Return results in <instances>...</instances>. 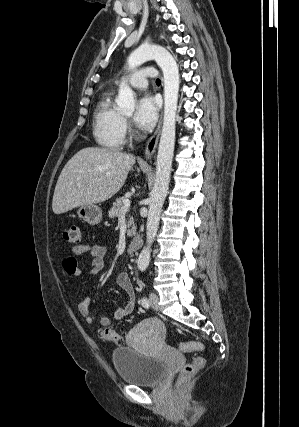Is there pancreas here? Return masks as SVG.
<instances>
[{"label":"pancreas","instance_id":"1","mask_svg":"<svg viewBox=\"0 0 299 427\" xmlns=\"http://www.w3.org/2000/svg\"><path fill=\"white\" fill-rule=\"evenodd\" d=\"M124 200L125 199L123 197L116 199V201L113 203V206L110 208L109 218L113 219V218H116L120 215V210L124 205V203H123ZM127 226H128L127 236L131 237L135 234V225H134L133 218L130 216L128 219Z\"/></svg>","mask_w":299,"mask_h":427}]
</instances>
